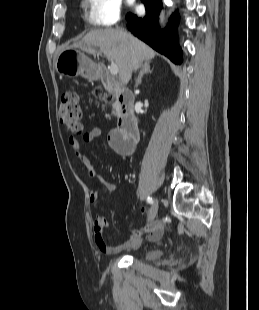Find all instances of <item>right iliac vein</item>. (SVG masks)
I'll list each match as a JSON object with an SVG mask.
<instances>
[{
    "mask_svg": "<svg viewBox=\"0 0 259 310\" xmlns=\"http://www.w3.org/2000/svg\"><path fill=\"white\" fill-rule=\"evenodd\" d=\"M157 213H158V200L155 198L148 215V221H152L156 217Z\"/></svg>",
    "mask_w": 259,
    "mask_h": 310,
    "instance_id": "1",
    "label": "right iliac vein"
}]
</instances>
